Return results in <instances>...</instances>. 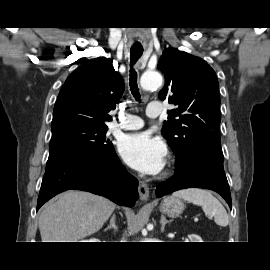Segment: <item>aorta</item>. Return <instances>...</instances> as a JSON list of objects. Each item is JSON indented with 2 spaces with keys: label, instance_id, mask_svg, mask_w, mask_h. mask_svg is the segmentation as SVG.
I'll use <instances>...</instances> for the list:
<instances>
[{
  "label": "aorta",
  "instance_id": "obj_1",
  "mask_svg": "<svg viewBox=\"0 0 270 270\" xmlns=\"http://www.w3.org/2000/svg\"><path fill=\"white\" fill-rule=\"evenodd\" d=\"M162 76L157 72H146L142 75L140 84L144 90H153L162 86Z\"/></svg>",
  "mask_w": 270,
  "mask_h": 270
}]
</instances>
